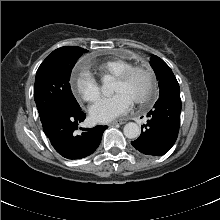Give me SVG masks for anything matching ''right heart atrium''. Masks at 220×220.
<instances>
[{"label":"right heart atrium","instance_id":"right-heart-atrium-1","mask_svg":"<svg viewBox=\"0 0 220 220\" xmlns=\"http://www.w3.org/2000/svg\"><path fill=\"white\" fill-rule=\"evenodd\" d=\"M73 89L86 102H94L101 94L99 82L87 71H82L76 76Z\"/></svg>","mask_w":220,"mask_h":220}]
</instances>
